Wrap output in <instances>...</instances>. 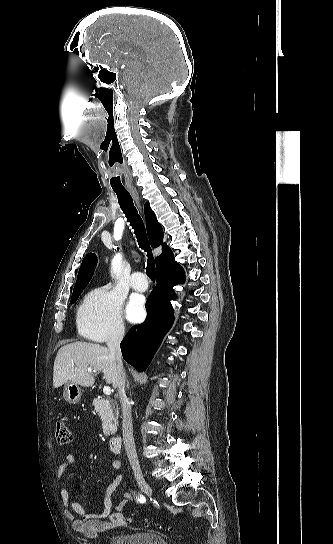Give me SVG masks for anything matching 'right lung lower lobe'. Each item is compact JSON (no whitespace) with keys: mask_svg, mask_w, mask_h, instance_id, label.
Returning a JSON list of instances; mask_svg holds the SVG:
<instances>
[{"mask_svg":"<svg viewBox=\"0 0 333 544\" xmlns=\"http://www.w3.org/2000/svg\"><path fill=\"white\" fill-rule=\"evenodd\" d=\"M156 282L146 302L147 319L132 328L120 345L124 360L139 372L147 369L171 327L173 309L170 300L175 296L173 286L184 282L183 269L175 264L160 270L156 272Z\"/></svg>","mask_w":333,"mask_h":544,"instance_id":"obj_1","label":"right lung lower lobe"}]
</instances>
